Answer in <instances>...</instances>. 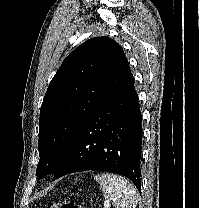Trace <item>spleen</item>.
<instances>
[{
    "label": "spleen",
    "mask_w": 199,
    "mask_h": 208,
    "mask_svg": "<svg viewBox=\"0 0 199 208\" xmlns=\"http://www.w3.org/2000/svg\"><path fill=\"white\" fill-rule=\"evenodd\" d=\"M102 188L106 199L113 202L115 208H136L138 192L125 178L114 174H98L94 176Z\"/></svg>",
    "instance_id": "1"
}]
</instances>
